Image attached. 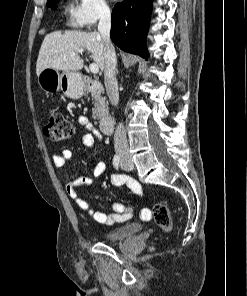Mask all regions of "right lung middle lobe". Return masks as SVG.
<instances>
[{"instance_id": "obj_1", "label": "right lung middle lobe", "mask_w": 247, "mask_h": 296, "mask_svg": "<svg viewBox=\"0 0 247 296\" xmlns=\"http://www.w3.org/2000/svg\"><path fill=\"white\" fill-rule=\"evenodd\" d=\"M59 0H48L47 6L51 7L52 9H55V5Z\"/></svg>"}]
</instances>
